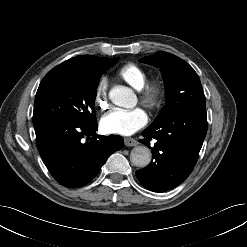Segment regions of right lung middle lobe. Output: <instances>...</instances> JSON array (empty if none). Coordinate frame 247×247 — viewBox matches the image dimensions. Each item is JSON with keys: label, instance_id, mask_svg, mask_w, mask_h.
Wrapping results in <instances>:
<instances>
[{"label": "right lung middle lobe", "instance_id": "right-lung-middle-lobe-1", "mask_svg": "<svg viewBox=\"0 0 247 247\" xmlns=\"http://www.w3.org/2000/svg\"><path fill=\"white\" fill-rule=\"evenodd\" d=\"M118 60L119 57L104 58L91 75L46 74L36 93L33 125L50 121L95 122L94 101L99 79Z\"/></svg>", "mask_w": 247, "mask_h": 247}]
</instances>
